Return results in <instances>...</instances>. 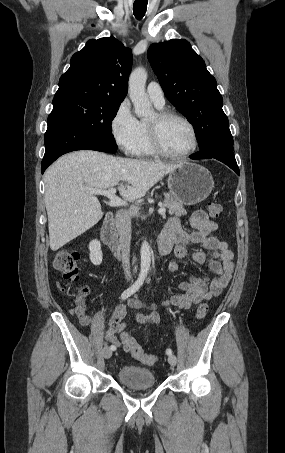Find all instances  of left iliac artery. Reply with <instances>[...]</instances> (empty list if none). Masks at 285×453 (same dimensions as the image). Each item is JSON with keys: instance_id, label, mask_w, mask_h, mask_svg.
I'll list each match as a JSON object with an SVG mask.
<instances>
[{"instance_id": "left-iliac-artery-1", "label": "left iliac artery", "mask_w": 285, "mask_h": 453, "mask_svg": "<svg viewBox=\"0 0 285 453\" xmlns=\"http://www.w3.org/2000/svg\"><path fill=\"white\" fill-rule=\"evenodd\" d=\"M166 354H167V355H171V354H172V350H171L170 348H168V349L166 350Z\"/></svg>"}]
</instances>
